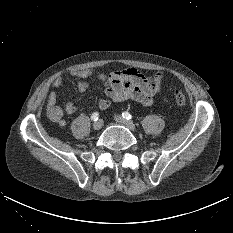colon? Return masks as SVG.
Masks as SVG:
<instances>
[{
	"mask_svg": "<svg viewBox=\"0 0 233 233\" xmlns=\"http://www.w3.org/2000/svg\"><path fill=\"white\" fill-rule=\"evenodd\" d=\"M173 96H174V100H175L177 105H179V106L186 105L187 98L182 92L175 90L173 93Z\"/></svg>",
	"mask_w": 233,
	"mask_h": 233,
	"instance_id": "colon-1",
	"label": "colon"
}]
</instances>
